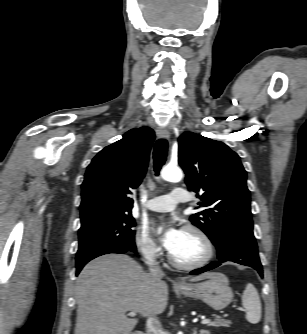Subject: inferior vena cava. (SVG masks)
I'll use <instances>...</instances> for the list:
<instances>
[{
    "instance_id": "602c4592",
    "label": "inferior vena cava",
    "mask_w": 307,
    "mask_h": 334,
    "mask_svg": "<svg viewBox=\"0 0 307 334\" xmlns=\"http://www.w3.org/2000/svg\"><path fill=\"white\" fill-rule=\"evenodd\" d=\"M149 271L151 276L155 279L163 276V271L154 259L149 263ZM146 327L149 334H157L161 329V323L155 315H150L147 318Z\"/></svg>"
}]
</instances>
